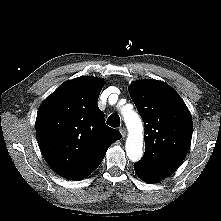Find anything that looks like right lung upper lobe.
Instances as JSON below:
<instances>
[{
	"mask_svg": "<svg viewBox=\"0 0 221 221\" xmlns=\"http://www.w3.org/2000/svg\"><path fill=\"white\" fill-rule=\"evenodd\" d=\"M103 81L79 77L64 82L40 105L36 136L42 155L58 175L81 180L102 162L108 147L121 139L105 124L97 100Z\"/></svg>",
	"mask_w": 221,
	"mask_h": 221,
	"instance_id": "1",
	"label": "right lung upper lobe"
}]
</instances>
